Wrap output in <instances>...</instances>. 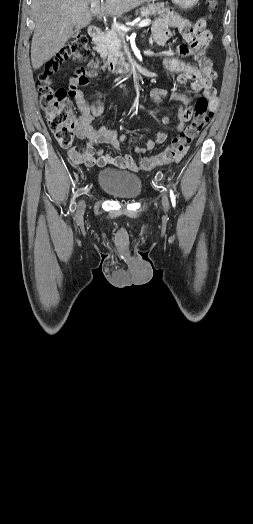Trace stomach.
Here are the masks:
<instances>
[{"mask_svg": "<svg viewBox=\"0 0 253 524\" xmlns=\"http://www.w3.org/2000/svg\"><path fill=\"white\" fill-rule=\"evenodd\" d=\"M199 0H172V2L182 9H191Z\"/></svg>", "mask_w": 253, "mask_h": 524, "instance_id": "obj_1", "label": "stomach"}]
</instances>
